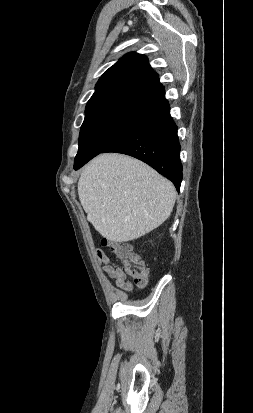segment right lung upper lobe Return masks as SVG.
<instances>
[{"label":"right lung upper lobe","instance_id":"right-lung-upper-lobe-1","mask_svg":"<svg viewBox=\"0 0 253 413\" xmlns=\"http://www.w3.org/2000/svg\"><path fill=\"white\" fill-rule=\"evenodd\" d=\"M167 106L164 87L147 57L130 53L101 76L86 105L85 118L114 112L150 117Z\"/></svg>","mask_w":253,"mask_h":413}]
</instances>
